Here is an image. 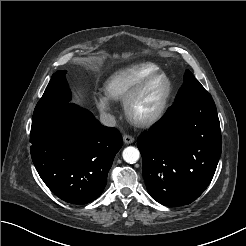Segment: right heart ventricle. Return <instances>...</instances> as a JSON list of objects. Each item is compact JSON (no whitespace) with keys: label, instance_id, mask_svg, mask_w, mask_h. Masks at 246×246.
Instances as JSON below:
<instances>
[{"label":"right heart ventricle","instance_id":"obj_1","mask_svg":"<svg viewBox=\"0 0 246 246\" xmlns=\"http://www.w3.org/2000/svg\"><path fill=\"white\" fill-rule=\"evenodd\" d=\"M157 72H161V68L150 62L121 68L108 78L105 85L106 93L114 100H124L137 84Z\"/></svg>","mask_w":246,"mask_h":246}]
</instances>
